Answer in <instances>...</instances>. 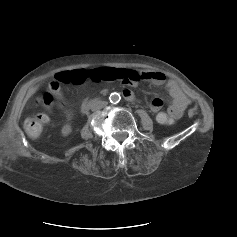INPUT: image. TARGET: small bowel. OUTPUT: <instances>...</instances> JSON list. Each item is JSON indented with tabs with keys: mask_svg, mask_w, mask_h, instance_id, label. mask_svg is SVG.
<instances>
[{
	"mask_svg": "<svg viewBox=\"0 0 237 237\" xmlns=\"http://www.w3.org/2000/svg\"><path fill=\"white\" fill-rule=\"evenodd\" d=\"M139 73L142 80H148L156 85H161L166 80L165 75L161 72L144 70ZM166 87L169 92V98L155 97L150 103V109L152 112L158 113L164 103H167L168 113H170L174 119L180 118L187 108L189 101L174 81H167Z\"/></svg>",
	"mask_w": 237,
	"mask_h": 237,
	"instance_id": "1",
	"label": "small bowel"
}]
</instances>
